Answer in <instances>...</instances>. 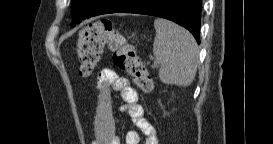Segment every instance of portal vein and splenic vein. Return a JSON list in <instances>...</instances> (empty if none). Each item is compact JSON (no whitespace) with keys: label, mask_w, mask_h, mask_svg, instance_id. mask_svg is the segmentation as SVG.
Instances as JSON below:
<instances>
[{"label":"portal vein and splenic vein","mask_w":273,"mask_h":144,"mask_svg":"<svg viewBox=\"0 0 273 144\" xmlns=\"http://www.w3.org/2000/svg\"><path fill=\"white\" fill-rule=\"evenodd\" d=\"M157 66V63L156 62H154L153 63V65H152V67H156Z\"/></svg>","instance_id":"obj_1"}]
</instances>
